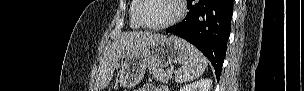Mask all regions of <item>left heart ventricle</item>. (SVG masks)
Instances as JSON below:
<instances>
[{
    "label": "left heart ventricle",
    "instance_id": "obj_1",
    "mask_svg": "<svg viewBox=\"0 0 304 91\" xmlns=\"http://www.w3.org/2000/svg\"><path fill=\"white\" fill-rule=\"evenodd\" d=\"M176 12L174 0H145L142 17L148 24H160L170 20Z\"/></svg>",
    "mask_w": 304,
    "mask_h": 91
}]
</instances>
